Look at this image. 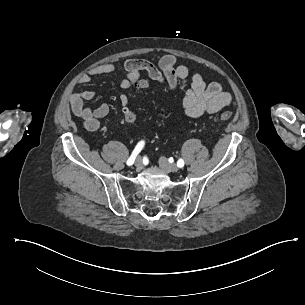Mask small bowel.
<instances>
[{
	"label": "small bowel",
	"instance_id": "obj_1",
	"mask_svg": "<svg viewBox=\"0 0 305 305\" xmlns=\"http://www.w3.org/2000/svg\"><path fill=\"white\" fill-rule=\"evenodd\" d=\"M177 61V56L173 54L161 57L158 65L145 59H128L123 63L125 76L120 80L119 85L123 89L134 87L136 82L143 79L141 78V72H146L152 80L170 89L180 85L185 89V96L182 100L183 110L191 118L215 114L231 103L232 97L223 90L221 83L211 82L206 84L202 75L198 72L192 75L191 81L188 83L189 68L185 65H177ZM116 71L117 66L115 64H99L89 68L87 74L80 78V83L87 84L93 76L110 74ZM94 97L95 92L92 90L73 93L70 97L73 114L81 118L83 127L91 132L100 128V119L106 117L110 112V106L106 103L95 109L87 107L85 102ZM119 102L125 112L128 96L120 95Z\"/></svg>",
	"mask_w": 305,
	"mask_h": 305
}]
</instances>
